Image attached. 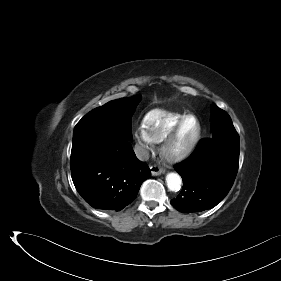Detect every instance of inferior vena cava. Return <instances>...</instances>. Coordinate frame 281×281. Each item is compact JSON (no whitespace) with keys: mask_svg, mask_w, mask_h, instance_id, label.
<instances>
[{"mask_svg":"<svg viewBox=\"0 0 281 281\" xmlns=\"http://www.w3.org/2000/svg\"><path fill=\"white\" fill-rule=\"evenodd\" d=\"M135 154L141 161H147L149 159V151L142 145H135Z\"/></svg>","mask_w":281,"mask_h":281,"instance_id":"1","label":"inferior vena cava"}]
</instances>
